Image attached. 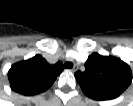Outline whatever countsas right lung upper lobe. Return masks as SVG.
Instances as JSON below:
<instances>
[{
	"instance_id": "1",
	"label": "right lung upper lobe",
	"mask_w": 133,
	"mask_h": 106,
	"mask_svg": "<svg viewBox=\"0 0 133 106\" xmlns=\"http://www.w3.org/2000/svg\"><path fill=\"white\" fill-rule=\"evenodd\" d=\"M62 71L61 62L50 65L41 55H36L13 64L8 78L13 91L29 96L49 89Z\"/></svg>"
}]
</instances>
